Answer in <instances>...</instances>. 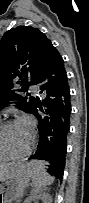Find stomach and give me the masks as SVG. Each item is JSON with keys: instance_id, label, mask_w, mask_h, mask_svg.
Instances as JSON below:
<instances>
[{"instance_id": "stomach-1", "label": "stomach", "mask_w": 89, "mask_h": 203, "mask_svg": "<svg viewBox=\"0 0 89 203\" xmlns=\"http://www.w3.org/2000/svg\"><path fill=\"white\" fill-rule=\"evenodd\" d=\"M29 171H22L16 166H10L3 171L1 180L3 185L4 203H13L21 196L23 184L28 180Z\"/></svg>"}]
</instances>
